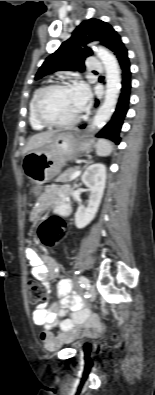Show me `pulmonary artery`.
<instances>
[{
  "mask_svg": "<svg viewBox=\"0 0 155 395\" xmlns=\"http://www.w3.org/2000/svg\"><path fill=\"white\" fill-rule=\"evenodd\" d=\"M87 64H88V68L90 70H101L102 69L101 62L98 59L94 58V57H90L88 59Z\"/></svg>",
  "mask_w": 155,
  "mask_h": 395,
  "instance_id": "1",
  "label": "pulmonary artery"
}]
</instances>
